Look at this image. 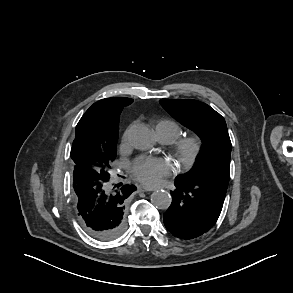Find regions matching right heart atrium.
Returning <instances> with one entry per match:
<instances>
[{"label": "right heart atrium", "mask_w": 293, "mask_h": 293, "mask_svg": "<svg viewBox=\"0 0 293 293\" xmlns=\"http://www.w3.org/2000/svg\"><path fill=\"white\" fill-rule=\"evenodd\" d=\"M127 135H128V131H126L122 137V144L125 145L126 141H127Z\"/></svg>", "instance_id": "1"}]
</instances>
